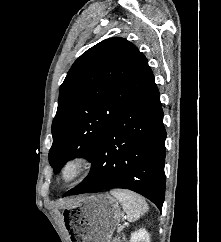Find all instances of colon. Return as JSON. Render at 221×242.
I'll use <instances>...</instances> for the list:
<instances>
[{
  "label": "colon",
  "mask_w": 221,
  "mask_h": 242,
  "mask_svg": "<svg viewBox=\"0 0 221 242\" xmlns=\"http://www.w3.org/2000/svg\"><path fill=\"white\" fill-rule=\"evenodd\" d=\"M113 242H122L121 238H116Z\"/></svg>",
  "instance_id": "5ec220e1"
}]
</instances>
